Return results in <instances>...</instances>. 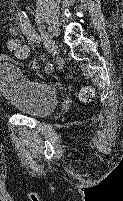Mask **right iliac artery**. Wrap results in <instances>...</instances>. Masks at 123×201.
<instances>
[{"mask_svg":"<svg viewBox=\"0 0 123 201\" xmlns=\"http://www.w3.org/2000/svg\"><path fill=\"white\" fill-rule=\"evenodd\" d=\"M17 18L19 21V25L23 34L27 37V39L39 43L41 41V37L34 31L33 27L31 26L29 19L24 11H18ZM53 70V65L48 63L45 67V72L50 73Z\"/></svg>","mask_w":123,"mask_h":201,"instance_id":"82829eb1","label":"right iliac artery"}]
</instances>
